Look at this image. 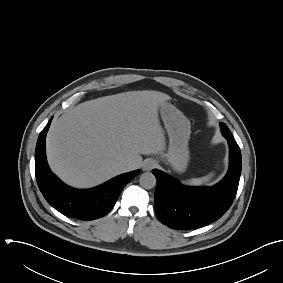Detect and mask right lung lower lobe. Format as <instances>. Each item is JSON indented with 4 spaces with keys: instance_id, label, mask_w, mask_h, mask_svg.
<instances>
[{
    "instance_id": "1",
    "label": "right lung lower lobe",
    "mask_w": 283,
    "mask_h": 283,
    "mask_svg": "<svg viewBox=\"0 0 283 283\" xmlns=\"http://www.w3.org/2000/svg\"><path fill=\"white\" fill-rule=\"evenodd\" d=\"M52 118L39 135L35 151V174L47 202L70 218L94 220L106 215L115 205L123 188L140 172L131 171L88 190L73 189L61 182L49 169L45 138Z\"/></svg>"
}]
</instances>
